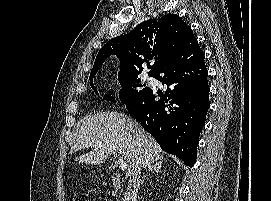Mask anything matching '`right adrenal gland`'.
<instances>
[{
  "mask_svg": "<svg viewBox=\"0 0 271 201\" xmlns=\"http://www.w3.org/2000/svg\"><path fill=\"white\" fill-rule=\"evenodd\" d=\"M161 167H162L161 161L155 162L154 164L150 165L148 167V172L143 176V178L141 180V184L144 183L146 177L150 175V172H156V173L161 172Z\"/></svg>",
  "mask_w": 271,
  "mask_h": 201,
  "instance_id": "2a0ac1e0",
  "label": "right adrenal gland"
}]
</instances>
